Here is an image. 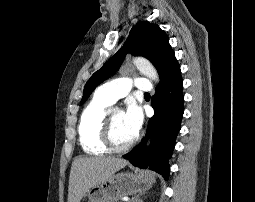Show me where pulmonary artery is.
Returning <instances> with one entry per match:
<instances>
[{
    "mask_svg": "<svg viewBox=\"0 0 255 202\" xmlns=\"http://www.w3.org/2000/svg\"><path fill=\"white\" fill-rule=\"evenodd\" d=\"M148 93L152 90L150 81L143 77H120L110 80L96 90V95L112 104L126 96L132 87Z\"/></svg>",
    "mask_w": 255,
    "mask_h": 202,
    "instance_id": "pulmonary-artery-1",
    "label": "pulmonary artery"
}]
</instances>
